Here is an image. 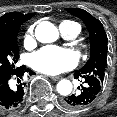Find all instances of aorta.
<instances>
[{
    "label": "aorta",
    "mask_w": 117,
    "mask_h": 117,
    "mask_svg": "<svg viewBox=\"0 0 117 117\" xmlns=\"http://www.w3.org/2000/svg\"><path fill=\"white\" fill-rule=\"evenodd\" d=\"M35 36L41 43H52L59 38L57 27L48 21L40 22L35 29ZM72 83L63 79L57 84V92L60 95L67 96L72 92Z\"/></svg>",
    "instance_id": "obj_1"
}]
</instances>
